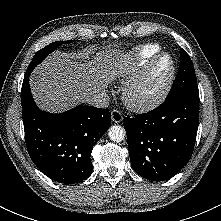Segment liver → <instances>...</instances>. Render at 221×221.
Returning <instances> with one entry per match:
<instances>
[{
  "label": "liver",
  "mask_w": 221,
  "mask_h": 221,
  "mask_svg": "<svg viewBox=\"0 0 221 221\" xmlns=\"http://www.w3.org/2000/svg\"><path fill=\"white\" fill-rule=\"evenodd\" d=\"M81 60H75V57ZM131 56L118 50L83 54L56 51L38 65L30 85L35 102L48 112H62L104 91L131 64Z\"/></svg>",
  "instance_id": "6515ba94"
}]
</instances>
